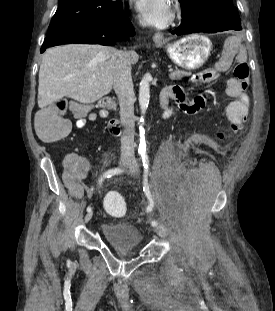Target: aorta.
<instances>
[{"label":"aorta","mask_w":275,"mask_h":311,"mask_svg":"<svg viewBox=\"0 0 275 311\" xmlns=\"http://www.w3.org/2000/svg\"><path fill=\"white\" fill-rule=\"evenodd\" d=\"M152 80V77L149 73H146L143 77V79L140 82V88H139V105L141 109V113L144 115L149 104V98H150V81ZM140 122H143V117L141 118ZM140 131V144H139V151L143 152L145 151V139H144V128L142 123L139 126Z\"/></svg>","instance_id":"obj_1"}]
</instances>
